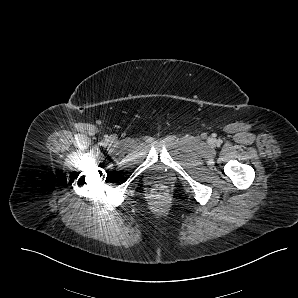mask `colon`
Returning a JSON list of instances; mask_svg holds the SVG:
<instances>
[{
    "mask_svg": "<svg viewBox=\"0 0 298 298\" xmlns=\"http://www.w3.org/2000/svg\"><path fill=\"white\" fill-rule=\"evenodd\" d=\"M157 195L163 196L166 193V188L163 185H160L156 188Z\"/></svg>",
    "mask_w": 298,
    "mask_h": 298,
    "instance_id": "obj_1",
    "label": "colon"
}]
</instances>
